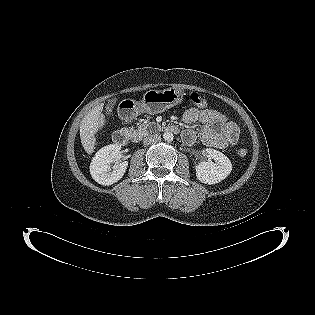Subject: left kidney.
Instances as JSON below:
<instances>
[{"instance_id":"5707ae66","label":"left kidney","mask_w":315,"mask_h":315,"mask_svg":"<svg viewBox=\"0 0 315 315\" xmlns=\"http://www.w3.org/2000/svg\"><path fill=\"white\" fill-rule=\"evenodd\" d=\"M209 158L196 165L197 179L208 185L216 184L224 180L232 171L231 161L220 151L215 149L203 150ZM213 159L215 162H212Z\"/></svg>"}]
</instances>
